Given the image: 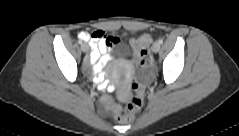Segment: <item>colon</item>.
Here are the masks:
<instances>
[{"mask_svg":"<svg viewBox=\"0 0 239 136\" xmlns=\"http://www.w3.org/2000/svg\"><path fill=\"white\" fill-rule=\"evenodd\" d=\"M106 43L110 45H115L119 42L116 37L106 36ZM150 39L148 36L144 35L139 39L132 41V46L134 49V55L138 59L141 65H146L148 63V44ZM130 89L133 92L129 103L125 107L116 105L113 109L115 119L119 122H129L132 120L134 114L138 112L143 105V94L140 90V85L136 81L130 83Z\"/></svg>","mask_w":239,"mask_h":136,"instance_id":"colon-1","label":"colon"}]
</instances>
